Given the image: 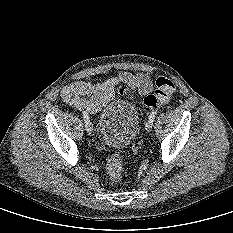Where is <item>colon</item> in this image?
Instances as JSON below:
<instances>
[{"label": "colon", "instance_id": "5ec220e1", "mask_svg": "<svg viewBox=\"0 0 233 233\" xmlns=\"http://www.w3.org/2000/svg\"><path fill=\"white\" fill-rule=\"evenodd\" d=\"M156 89L153 94L146 96L143 104L148 108H157L167 103L175 89L172 80L159 76L155 81ZM107 172L114 182H120L122 179L123 161L120 152L114 153L108 160L106 165Z\"/></svg>", "mask_w": 233, "mask_h": 233}]
</instances>
